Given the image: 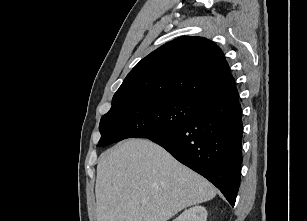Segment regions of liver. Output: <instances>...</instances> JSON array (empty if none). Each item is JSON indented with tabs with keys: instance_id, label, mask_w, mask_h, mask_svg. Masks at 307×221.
I'll list each match as a JSON object with an SVG mask.
<instances>
[{
	"instance_id": "liver-1",
	"label": "liver",
	"mask_w": 307,
	"mask_h": 221,
	"mask_svg": "<svg viewBox=\"0 0 307 221\" xmlns=\"http://www.w3.org/2000/svg\"><path fill=\"white\" fill-rule=\"evenodd\" d=\"M95 194L97 221H167L216 189L157 144L129 139L100 155Z\"/></svg>"
}]
</instances>
